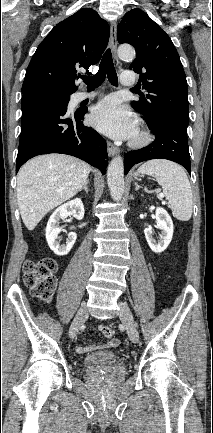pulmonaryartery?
<instances>
[{
  "label": "pulmonary artery",
  "instance_id": "1",
  "mask_svg": "<svg viewBox=\"0 0 213 433\" xmlns=\"http://www.w3.org/2000/svg\"><path fill=\"white\" fill-rule=\"evenodd\" d=\"M120 82L123 86H133L135 84V76L131 71H124L121 74ZM96 95L95 92L87 93V92H79L76 94V101H82L87 98H92Z\"/></svg>",
  "mask_w": 213,
  "mask_h": 433
}]
</instances>
